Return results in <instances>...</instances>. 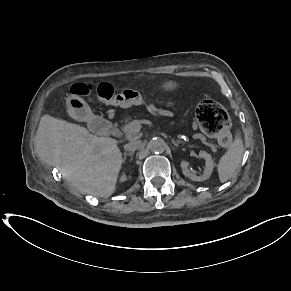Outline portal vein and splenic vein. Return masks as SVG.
<instances>
[{
  "instance_id": "portal-vein-and-splenic-vein-1",
  "label": "portal vein and splenic vein",
  "mask_w": 291,
  "mask_h": 291,
  "mask_svg": "<svg viewBox=\"0 0 291 291\" xmlns=\"http://www.w3.org/2000/svg\"><path fill=\"white\" fill-rule=\"evenodd\" d=\"M141 123H144V121L134 120L124 127V131L128 134H136L141 129Z\"/></svg>"
}]
</instances>
